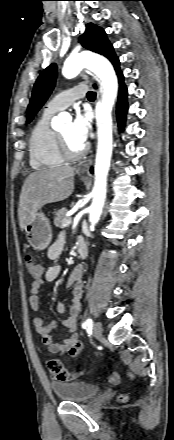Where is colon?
Instances as JSON below:
<instances>
[{
	"mask_svg": "<svg viewBox=\"0 0 174 440\" xmlns=\"http://www.w3.org/2000/svg\"><path fill=\"white\" fill-rule=\"evenodd\" d=\"M26 266H27V270L32 278H34L36 280L41 278L42 273H43L42 266L39 262L35 261L30 254L26 255ZM109 381L112 384H117L119 382L118 374L116 372H113L109 377ZM119 399L121 402H126L127 396L121 395Z\"/></svg>",
	"mask_w": 174,
	"mask_h": 440,
	"instance_id": "1",
	"label": "colon"
}]
</instances>
